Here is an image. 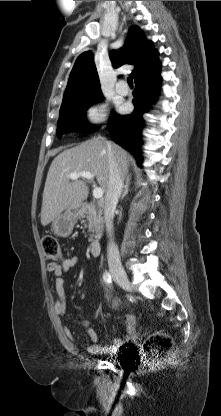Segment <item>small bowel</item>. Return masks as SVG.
Segmentation results:
<instances>
[{"label":"small bowel","mask_w":221,"mask_h":416,"mask_svg":"<svg viewBox=\"0 0 221 416\" xmlns=\"http://www.w3.org/2000/svg\"><path fill=\"white\" fill-rule=\"evenodd\" d=\"M78 263L79 259L77 256H70L65 258L60 264L50 262L46 266V270L56 277L55 290L57 294V300L55 302L54 309L55 312L59 315H64L67 311L66 294L62 276L66 272L76 268ZM106 297L111 299V295L108 290H106ZM113 303L116 305L117 301L114 300ZM127 323L128 326L126 332L121 337L115 338L112 345L110 346H103L99 342L98 333L94 329L88 328L87 333L92 342L88 346V352L91 354H112L117 352L123 346L129 344L132 341L134 334V318L130 315L127 316ZM65 334L69 339H75V333L69 327L65 329Z\"/></svg>","instance_id":"obj_1"}]
</instances>
